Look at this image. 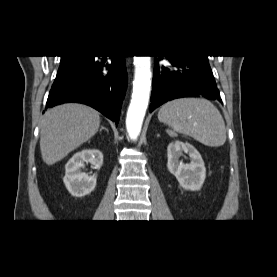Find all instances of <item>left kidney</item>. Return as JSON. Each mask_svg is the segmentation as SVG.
Here are the masks:
<instances>
[{
    "label": "left kidney",
    "instance_id": "left-kidney-1",
    "mask_svg": "<svg viewBox=\"0 0 277 277\" xmlns=\"http://www.w3.org/2000/svg\"><path fill=\"white\" fill-rule=\"evenodd\" d=\"M182 152L189 154L190 163L179 161ZM167 168L185 190H199L206 178V168L200 153L189 143L179 140L171 142L167 147Z\"/></svg>",
    "mask_w": 277,
    "mask_h": 277
}]
</instances>
